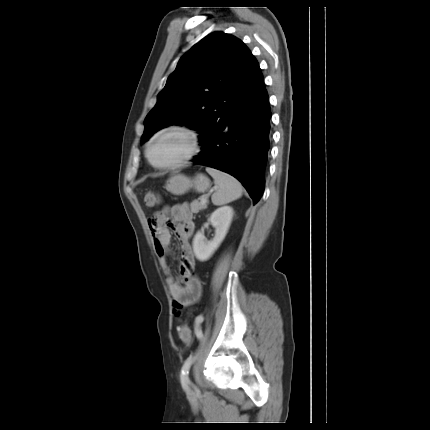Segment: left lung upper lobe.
<instances>
[{"label":"left lung upper lobe","instance_id":"obj_1","mask_svg":"<svg viewBox=\"0 0 430 430\" xmlns=\"http://www.w3.org/2000/svg\"><path fill=\"white\" fill-rule=\"evenodd\" d=\"M259 64L238 38L215 32L179 60L155 107L147 115L141 143L169 125H187L200 134L211 131L230 105L254 88Z\"/></svg>","mask_w":430,"mask_h":430}]
</instances>
